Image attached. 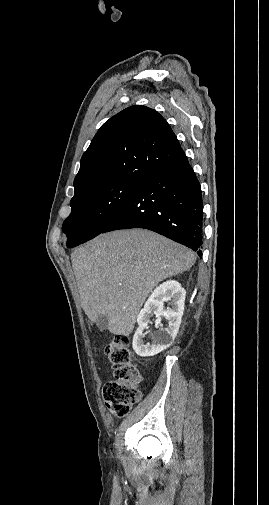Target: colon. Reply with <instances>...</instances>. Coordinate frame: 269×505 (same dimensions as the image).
Returning a JSON list of instances; mask_svg holds the SVG:
<instances>
[{
  "instance_id": "colon-1",
  "label": "colon",
  "mask_w": 269,
  "mask_h": 505,
  "mask_svg": "<svg viewBox=\"0 0 269 505\" xmlns=\"http://www.w3.org/2000/svg\"><path fill=\"white\" fill-rule=\"evenodd\" d=\"M105 355L112 365V379L103 387V400L107 408L117 417L125 416L141 399L138 385L141 375L132 362L130 339L116 336L105 347Z\"/></svg>"
}]
</instances>
